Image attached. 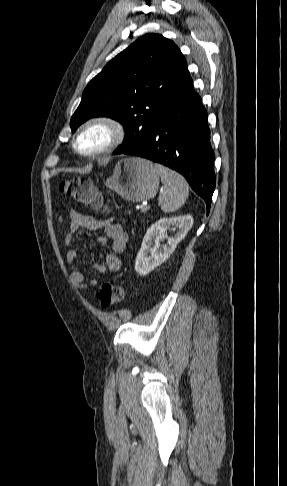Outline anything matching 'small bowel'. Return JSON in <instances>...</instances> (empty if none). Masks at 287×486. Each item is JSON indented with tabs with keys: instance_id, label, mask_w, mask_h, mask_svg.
Listing matches in <instances>:
<instances>
[{
	"instance_id": "obj_1",
	"label": "small bowel",
	"mask_w": 287,
	"mask_h": 486,
	"mask_svg": "<svg viewBox=\"0 0 287 486\" xmlns=\"http://www.w3.org/2000/svg\"><path fill=\"white\" fill-rule=\"evenodd\" d=\"M70 231L65 238L66 259L70 267V281L79 290H86L98 285L97 279H87L76 266L78 250L74 245L75 234L81 230L103 231L104 235L99 238L103 244H110L111 250L105 257L104 263L94 264V269L101 275L118 271L121 267L119 255L126 248L128 235L121 222L113 219L99 220L93 216L79 213L75 210L69 212Z\"/></svg>"
}]
</instances>
